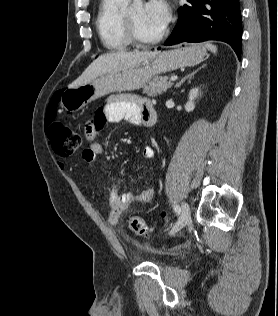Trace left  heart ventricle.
Wrapping results in <instances>:
<instances>
[{"instance_id":"b2bd125f","label":"left heart ventricle","mask_w":278,"mask_h":316,"mask_svg":"<svg viewBox=\"0 0 278 316\" xmlns=\"http://www.w3.org/2000/svg\"><path fill=\"white\" fill-rule=\"evenodd\" d=\"M138 34L144 39H150L161 33L163 28L153 24L146 16L145 8L139 5L128 12Z\"/></svg>"}]
</instances>
